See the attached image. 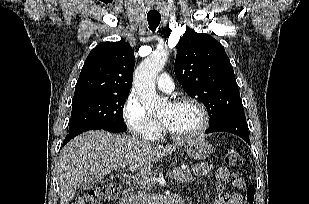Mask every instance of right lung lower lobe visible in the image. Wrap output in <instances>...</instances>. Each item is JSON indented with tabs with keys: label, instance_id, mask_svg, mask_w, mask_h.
I'll return each instance as SVG.
<instances>
[{
	"label": "right lung lower lobe",
	"instance_id": "right-lung-lower-lobe-1",
	"mask_svg": "<svg viewBox=\"0 0 309 204\" xmlns=\"http://www.w3.org/2000/svg\"><path fill=\"white\" fill-rule=\"evenodd\" d=\"M93 129H96V128H83V129H80V130H77V131H74V132H71L69 133L65 140H64V143H63V146L68 143L72 138H74L75 136H77L78 134L82 133V132H85V131H88V130H93Z\"/></svg>",
	"mask_w": 309,
	"mask_h": 204
}]
</instances>
